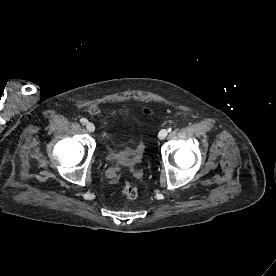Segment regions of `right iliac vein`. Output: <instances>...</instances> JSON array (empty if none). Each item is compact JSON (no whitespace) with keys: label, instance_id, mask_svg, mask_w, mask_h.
<instances>
[{"label":"right iliac vein","instance_id":"63e3f726","mask_svg":"<svg viewBox=\"0 0 276 276\" xmlns=\"http://www.w3.org/2000/svg\"><path fill=\"white\" fill-rule=\"evenodd\" d=\"M86 128L89 132H94L95 131V126L93 123L89 122L86 124Z\"/></svg>","mask_w":276,"mask_h":276}]
</instances>
